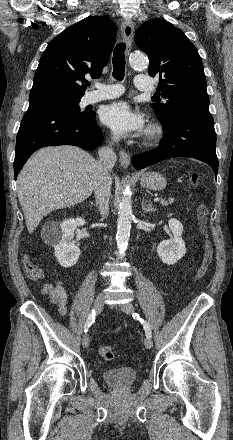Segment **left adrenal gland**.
<instances>
[{
	"label": "left adrenal gland",
	"instance_id": "obj_1",
	"mask_svg": "<svg viewBox=\"0 0 233 440\" xmlns=\"http://www.w3.org/2000/svg\"><path fill=\"white\" fill-rule=\"evenodd\" d=\"M142 209L145 213L156 211V208L152 206L151 201L147 204L146 198H143L142 200Z\"/></svg>",
	"mask_w": 233,
	"mask_h": 440
}]
</instances>
